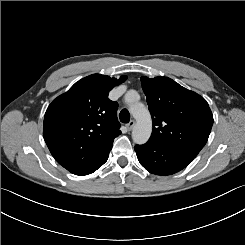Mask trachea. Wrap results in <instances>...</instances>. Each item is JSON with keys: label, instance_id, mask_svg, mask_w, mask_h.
<instances>
[{"label": "trachea", "instance_id": "1", "mask_svg": "<svg viewBox=\"0 0 245 245\" xmlns=\"http://www.w3.org/2000/svg\"><path fill=\"white\" fill-rule=\"evenodd\" d=\"M120 121L123 123H128L130 121V113L128 109H123L119 114Z\"/></svg>", "mask_w": 245, "mask_h": 245}]
</instances>
